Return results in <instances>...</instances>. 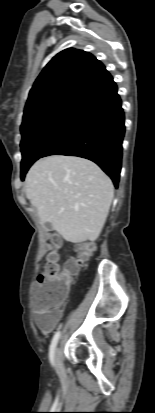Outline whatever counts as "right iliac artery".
I'll list each match as a JSON object with an SVG mask.
<instances>
[{"label":"right iliac artery","instance_id":"right-iliac-artery-1","mask_svg":"<svg viewBox=\"0 0 155 413\" xmlns=\"http://www.w3.org/2000/svg\"><path fill=\"white\" fill-rule=\"evenodd\" d=\"M59 337H60V332L58 331V332L55 333V335L52 339L51 345H50L49 359H50V362L53 366L55 365V363H54V352H55V348H56Z\"/></svg>","mask_w":155,"mask_h":413}]
</instances>
